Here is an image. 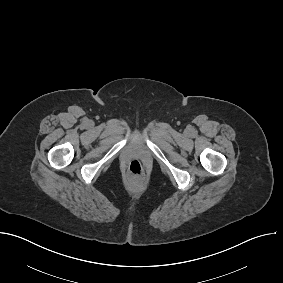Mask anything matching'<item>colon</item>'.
Masks as SVG:
<instances>
[{
  "instance_id": "1",
  "label": "colon",
  "mask_w": 283,
  "mask_h": 283,
  "mask_svg": "<svg viewBox=\"0 0 283 283\" xmlns=\"http://www.w3.org/2000/svg\"><path fill=\"white\" fill-rule=\"evenodd\" d=\"M128 173L133 177H142L144 174V168L140 161L133 160L128 166Z\"/></svg>"
}]
</instances>
